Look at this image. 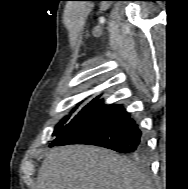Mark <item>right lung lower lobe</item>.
<instances>
[{
	"label": "right lung lower lobe",
	"mask_w": 188,
	"mask_h": 189,
	"mask_svg": "<svg viewBox=\"0 0 188 189\" xmlns=\"http://www.w3.org/2000/svg\"><path fill=\"white\" fill-rule=\"evenodd\" d=\"M67 144L96 145L129 154H139L145 148L141 130L124 107L107 105L102 100L54 139L50 147Z\"/></svg>",
	"instance_id": "1"
}]
</instances>
